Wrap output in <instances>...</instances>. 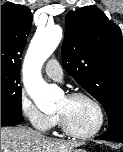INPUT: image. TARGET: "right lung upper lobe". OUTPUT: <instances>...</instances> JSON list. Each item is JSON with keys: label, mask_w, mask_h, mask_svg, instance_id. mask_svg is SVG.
I'll list each match as a JSON object with an SVG mask.
<instances>
[{"label": "right lung upper lobe", "mask_w": 123, "mask_h": 152, "mask_svg": "<svg viewBox=\"0 0 123 152\" xmlns=\"http://www.w3.org/2000/svg\"><path fill=\"white\" fill-rule=\"evenodd\" d=\"M31 25L29 8L14 3L1 6V69L19 71Z\"/></svg>", "instance_id": "obj_1"}]
</instances>
